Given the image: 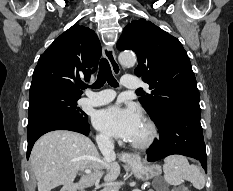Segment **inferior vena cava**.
<instances>
[{
	"label": "inferior vena cava",
	"mask_w": 233,
	"mask_h": 191,
	"mask_svg": "<svg viewBox=\"0 0 233 191\" xmlns=\"http://www.w3.org/2000/svg\"><path fill=\"white\" fill-rule=\"evenodd\" d=\"M99 149L104 156V161L113 162L116 159L114 143L110 137H103L98 143Z\"/></svg>",
	"instance_id": "inferior-vena-cava-1"
}]
</instances>
